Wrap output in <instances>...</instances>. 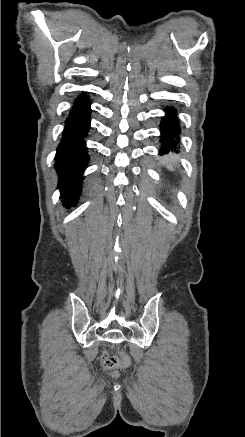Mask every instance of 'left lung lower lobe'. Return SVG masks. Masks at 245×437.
Wrapping results in <instances>:
<instances>
[{
	"mask_svg": "<svg viewBox=\"0 0 245 437\" xmlns=\"http://www.w3.org/2000/svg\"><path fill=\"white\" fill-rule=\"evenodd\" d=\"M167 114L161 121L162 129L161 142L163 143L160 153H168L170 150H176L179 147L180 126L179 120L175 117L173 108H166Z\"/></svg>",
	"mask_w": 245,
	"mask_h": 437,
	"instance_id": "0a47b994",
	"label": "left lung lower lobe"
}]
</instances>
